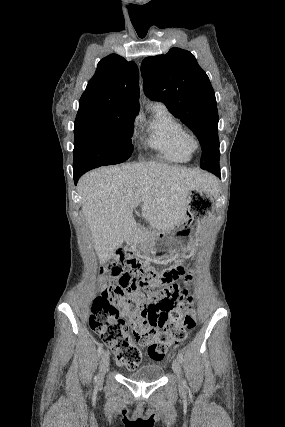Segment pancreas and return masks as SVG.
Here are the masks:
<instances>
[{"mask_svg": "<svg viewBox=\"0 0 285 427\" xmlns=\"http://www.w3.org/2000/svg\"><path fill=\"white\" fill-rule=\"evenodd\" d=\"M128 243H129V244L133 243V240H132V239H129V240H128Z\"/></svg>", "mask_w": 285, "mask_h": 427, "instance_id": "cf45deb5", "label": "pancreas"}]
</instances>
